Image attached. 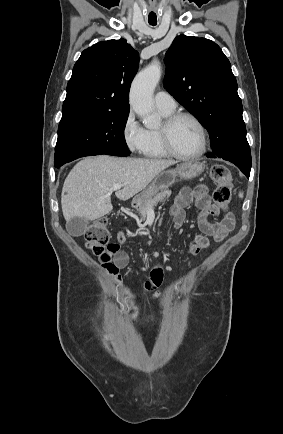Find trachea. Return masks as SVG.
Masks as SVG:
<instances>
[{
	"mask_svg": "<svg viewBox=\"0 0 283 434\" xmlns=\"http://www.w3.org/2000/svg\"><path fill=\"white\" fill-rule=\"evenodd\" d=\"M151 25H156L155 23H150Z\"/></svg>",
	"mask_w": 283,
	"mask_h": 434,
	"instance_id": "1",
	"label": "trachea"
}]
</instances>
